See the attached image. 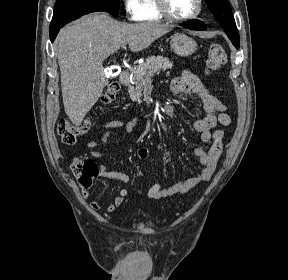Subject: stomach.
<instances>
[{"label":"stomach","mask_w":288,"mask_h":280,"mask_svg":"<svg viewBox=\"0 0 288 280\" xmlns=\"http://www.w3.org/2000/svg\"><path fill=\"white\" fill-rule=\"evenodd\" d=\"M170 46L172 50L181 57L190 56L197 49L196 41L183 33H178L172 36Z\"/></svg>","instance_id":"stomach-1"}]
</instances>
